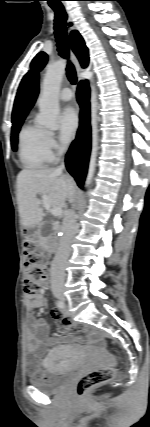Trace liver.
<instances>
[{
    "mask_svg": "<svg viewBox=\"0 0 150 427\" xmlns=\"http://www.w3.org/2000/svg\"><path fill=\"white\" fill-rule=\"evenodd\" d=\"M73 180L57 169H23L17 176V200L22 225L26 228L39 226L43 209L37 194L48 197L50 206L63 208L68 199Z\"/></svg>",
    "mask_w": 150,
    "mask_h": 427,
    "instance_id": "1",
    "label": "liver"
}]
</instances>
